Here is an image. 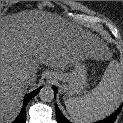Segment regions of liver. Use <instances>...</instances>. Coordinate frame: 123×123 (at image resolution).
Returning a JSON list of instances; mask_svg holds the SVG:
<instances>
[{"label": "liver", "instance_id": "obj_1", "mask_svg": "<svg viewBox=\"0 0 123 123\" xmlns=\"http://www.w3.org/2000/svg\"><path fill=\"white\" fill-rule=\"evenodd\" d=\"M104 47L91 32L50 13L24 11L1 19V123L19 112L27 87L34 86L40 64L65 70L77 61L101 56ZM28 72V81L21 79Z\"/></svg>", "mask_w": 123, "mask_h": 123}]
</instances>
